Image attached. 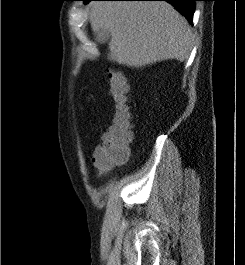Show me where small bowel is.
Returning a JSON list of instances; mask_svg holds the SVG:
<instances>
[{"instance_id": "obj_1", "label": "small bowel", "mask_w": 245, "mask_h": 265, "mask_svg": "<svg viewBox=\"0 0 245 265\" xmlns=\"http://www.w3.org/2000/svg\"><path fill=\"white\" fill-rule=\"evenodd\" d=\"M93 163H94V166H95L100 172H105V171H106V169L100 168V167L97 165V163H96V161H95V154L93 155Z\"/></svg>"}]
</instances>
